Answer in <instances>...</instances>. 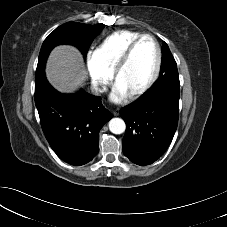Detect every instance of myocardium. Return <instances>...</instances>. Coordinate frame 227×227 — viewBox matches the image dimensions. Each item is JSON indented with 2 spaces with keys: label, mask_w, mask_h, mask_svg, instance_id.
I'll list each match as a JSON object with an SVG mask.
<instances>
[{
  "label": "myocardium",
  "mask_w": 227,
  "mask_h": 227,
  "mask_svg": "<svg viewBox=\"0 0 227 227\" xmlns=\"http://www.w3.org/2000/svg\"><path fill=\"white\" fill-rule=\"evenodd\" d=\"M145 38L152 40L155 44V47L157 50V63H156V67H155L154 73L151 76V78L142 87L127 94V96L131 99H135V98L143 95L144 93H146L154 85V83L157 81V79L160 75L161 68H162V62H163V55H162V49H161V46H160L158 40L153 35L141 34L140 36H138L136 39H134L129 44V46L126 48L125 52L123 53V55L121 56V58L119 59V61L117 62L116 66L113 70V80L116 83L119 75L121 74V72L124 70V68L129 63L136 46Z\"/></svg>",
  "instance_id": "myocardium-1"
}]
</instances>
